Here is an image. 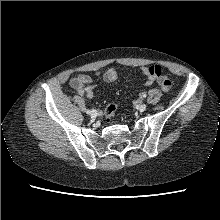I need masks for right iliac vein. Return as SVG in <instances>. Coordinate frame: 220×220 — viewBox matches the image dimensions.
Instances as JSON below:
<instances>
[{
    "label": "right iliac vein",
    "instance_id": "right-iliac-vein-1",
    "mask_svg": "<svg viewBox=\"0 0 220 220\" xmlns=\"http://www.w3.org/2000/svg\"><path fill=\"white\" fill-rule=\"evenodd\" d=\"M97 117V112L95 111V110H93L92 112H91V118H96Z\"/></svg>",
    "mask_w": 220,
    "mask_h": 220
}]
</instances>
